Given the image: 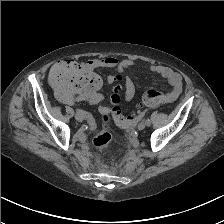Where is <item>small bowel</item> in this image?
Returning <instances> with one entry per match:
<instances>
[{
  "label": "small bowel",
  "mask_w": 224,
  "mask_h": 224,
  "mask_svg": "<svg viewBox=\"0 0 224 224\" xmlns=\"http://www.w3.org/2000/svg\"><path fill=\"white\" fill-rule=\"evenodd\" d=\"M136 63L129 59H117L115 57L95 58L90 59L84 63V67L88 70H93L98 67L113 68L116 72L114 76L110 77V80H114L119 74H122L124 70L135 66ZM148 69L151 72L159 74L164 78L169 86L170 90L166 94L167 102L174 101L181 93L182 90V78L179 73L175 72L169 67L157 64H148ZM135 95V84L130 77H125V101H130ZM103 112H106L105 108H102ZM137 119V116H136Z\"/></svg>",
  "instance_id": "obj_1"
}]
</instances>
